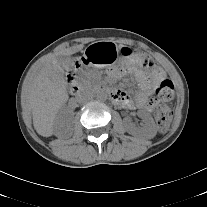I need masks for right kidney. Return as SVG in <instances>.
Here are the masks:
<instances>
[{"mask_svg":"<svg viewBox=\"0 0 207 207\" xmlns=\"http://www.w3.org/2000/svg\"><path fill=\"white\" fill-rule=\"evenodd\" d=\"M71 118L72 116L69 111H67L66 109L60 110L55 118V122H54L55 130H61L64 127H66L69 121L71 120Z\"/></svg>","mask_w":207,"mask_h":207,"instance_id":"right-kidney-1","label":"right kidney"}]
</instances>
